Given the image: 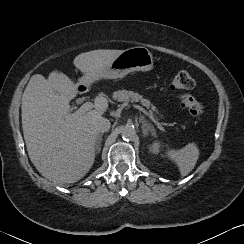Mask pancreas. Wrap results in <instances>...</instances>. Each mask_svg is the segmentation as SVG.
<instances>
[{
  "label": "pancreas",
  "mask_w": 244,
  "mask_h": 244,
  "mask_svg": "<svg viewBox=\"0 0 244 244\" xmlns=\"http://www.w3.org/2000/svg\"><path fill=\"white\" fill-rule=\"evenodd\" d=\"M113 98L118 102H140L142 105L146 106L147 108H151L155 110V107L150 103L149 100L144 99L138 93H134L132 91L127 90H119L113 93Z\"/></svg>",
  "instance_id": "cf45deb5"
}]
</instances>
